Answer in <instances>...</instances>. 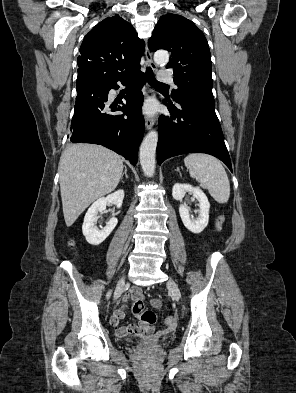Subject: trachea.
Segmentation results:
<instances>
[{
  "label": "trachea",
  "mask_w": 296,
  "mask_h": 393,
  "mask_svg": "<svg viewBox=\"0 0 296 393\" xmlns=\"http://www.w3.org/2000/svg\"><path fill=\"white\" fill-rule=\"evenodd\" d=\"M146 77H147V81L149 83L150 86L158 88V87H168V85L160 83L156 80V78L154 77L153 71L151 69V67H147L146 68Z\"/></svg>",
  "instance_id": "1"
}]
</instances>
